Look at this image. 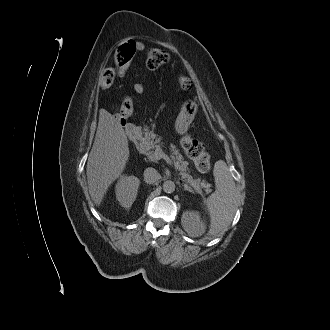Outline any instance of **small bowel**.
<instances>
[{"label": "small bowel", "instance_id": "obj_1", "mask_svg": "<svg viewBox=\"0 0 330 330\" xmlns=\"http://www.w3.org/2000/svg\"><path fill=\"white\" fill-rule=\"evenodd\" d=\"M134 43H135V47H136V53L142 51V49H143L142 44L141 43H136V42H134ZM130 66H131V63L124 66V67H118L117 76L119 78L125 77L129 72ZM133 89H134L135 93L142 94L144 92V85L140 82H137V83L134 84ZM127 115H128L127 111L124 110L123 107L121 106L120 107V116L121 117H126Z\"/></svg>", "mask_w": 330, "mask_h": 330}]
</instances>
